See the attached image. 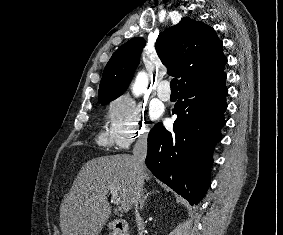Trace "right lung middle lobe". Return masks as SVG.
Listing matches in <instances>:
<instances>
[{"label": "right lung middle lobe", "instance_id": "right-lung-middle-lobe-1", "mask_svg": "<svg viewBox=\"0 0 283 235\" xmlns=\"http://www.w3.org/2000/svg\"><path fill=\"white\" fill-rule=\"evenodd\" d=\"M108 102H110V101H105V102H102L101 104H102V105H105V104H107Z\"/></svg>", "mask_w": 283, "mask_h": 235}]
</instances>
